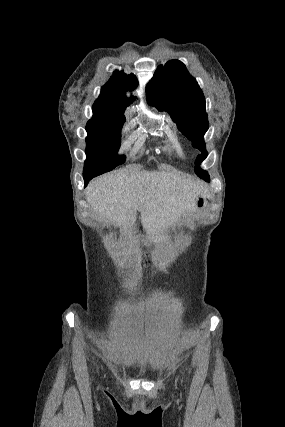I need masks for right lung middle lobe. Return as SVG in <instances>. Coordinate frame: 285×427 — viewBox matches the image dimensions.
<instances>
[{"instance_id":"obj_1","label":"right lung middle lobe","mask_w":285,"mask_h":427,"mask_svg":"<svg viewBox=\"0 0 285 427\" xmlns=\"http://www.w3.org/2000/svg\"><path fill=\"white\" fill-rule=\"evenodd\" d=\"M123 124L86 126L87 160L83 174H103L124 163L125 156L117 155Z\"/></svg>"}]
</instances>
